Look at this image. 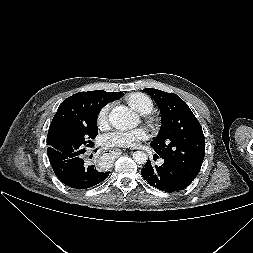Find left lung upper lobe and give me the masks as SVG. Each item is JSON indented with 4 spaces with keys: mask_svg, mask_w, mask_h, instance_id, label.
Here are the masks:
<instances>
[{
    "mask_svg": "<svg viewBox=\"0 0 253 253\" xmlns=\"http://www.w3.org/2000/svg\"><path fill=\"white\" fill-rule=\"evenodd\" d=\"M157 103L162 126L150 143L155 152L170 160L193 176H197L205 155L202 127L188 105L176 94L145 88Z\"/></svg>",
    "mask_w": 253,
    "mask_h": 253,
    "instance_id": "5c2ea615",
    "label": "left lung upper lobe"
}]
</instances>
